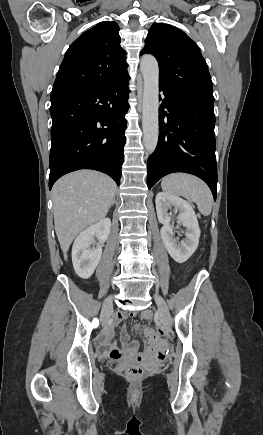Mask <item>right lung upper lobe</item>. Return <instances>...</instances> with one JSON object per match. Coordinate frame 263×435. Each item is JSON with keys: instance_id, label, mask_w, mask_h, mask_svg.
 <instances>
[{"instance_id": "1", "label": "right lung upper lobe", "mask_w": 263, "mask_h": 435, "mask_svg": "<svg viewBox=\"0 0 263 435\" xmlns=\"http://www.w3.org/2000/svg\"><path fill=\"white\" fill-rule=\"evenodd\" d=\"M119 26L98 23L76 39L61 63L51 99L80 93L127 74L126 52L120 46Z\"/></svg>"}]
</instances>
